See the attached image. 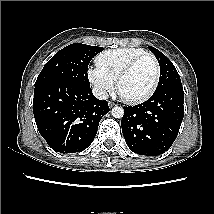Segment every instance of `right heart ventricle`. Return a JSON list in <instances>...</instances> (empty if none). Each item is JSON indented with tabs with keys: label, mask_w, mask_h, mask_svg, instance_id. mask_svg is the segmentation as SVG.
<instances>
[{
	"label": "right heart ventricle",
	"mask_w": 214,
	"mask_h": 214,
	"mask_svg": "<svg viewBox=\"0 0 214 214\" xmlns=\"http://www.w3.org/2000/svg\"><path fill=\"white\" fill-rule=\"evenodd\" d=\"M146 53L142 48L124 47L100 53L96 59V66L108 74L115 81L121 70L135 57Z\"/></svg>",
	"instance_id": "right-heart-ventricle-1"
}]
</instances>
